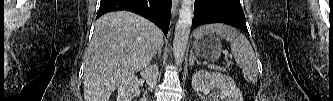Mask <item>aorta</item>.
<instances>
[{
  "mask_svg": "<svg viewBox=\"0 0 333 101\" xmlns=\"http://www.w3.org/2000/svg\"><path fill=\"white\" fill-rule=\"evenodd\" d=\"M192 18L193 1L183 0L173 40V54L177 65H180L184 59L192 25Z\"/></svg>",
  "mask_w": 333,
  "mask_h": 101,
  "instance_id": "1",
  "label": "aorta"
}]
</instances>
